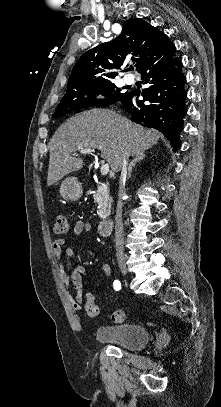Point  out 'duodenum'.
Masks as SVG:
<instances>
[{
    "label": "duodenum",
    "instance_id": "1",
    "mask_svg": "<svg viewBox=\"0 0 221 407\" xmlns=\"http://www.w3.org/2000/svg\"><path fill=\"white\" fill-rule=\"evenodd\" d=\"M113 225H114V221H113V217H112V216H109L108 218L102 220V221L100 222L99 228H98L99 234H100L101 236H107V235H109L110 232H111V230H112V228H113Z\"/></svg>",
    "mask_w": 221,
    "mask_h": 407
}]
</instances>
